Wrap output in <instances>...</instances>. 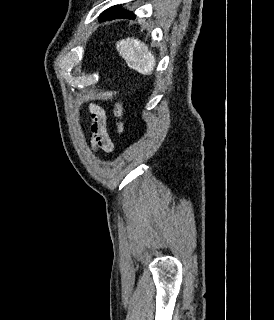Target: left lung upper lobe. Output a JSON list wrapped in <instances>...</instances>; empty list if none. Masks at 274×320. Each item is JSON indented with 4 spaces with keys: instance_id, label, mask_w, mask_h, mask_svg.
<instances>
[{
    "instance_id": "5c2ea615",
    "label": "left lung upper lobe",
    "mask_w": 274,
    "mask_h": 320,
    "mask_svg": "<svg viewBox=\"0 0 274 320\" xmlns=\"http://www.w3.org/2000/svg\"><path fill=\"white\" fill-rule=\"evenodd\" d=\"M121 5H115V6H112L110 7L109 9L105 10L103 14H107V13H115V12H122L124 11V9L120 8Z\"/></svg>"
}]
</instances>
